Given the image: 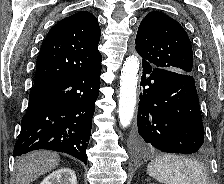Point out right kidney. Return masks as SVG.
<instances>
[{
    "label": "right kidney",
    "instance_id": "obj_1",
    "mask_svg": "<svg viewBox=\"0 0 224 184\" xmlns=\"http://www.w3.org/2000/svg\"><path fill=\"white\" fill-rule=\"evenodd\" d=\"M40 184H77L76 174L72 169L61 168L50 173Z\"/></svg>",
    "mask_w": 224,
    "mask_h": 184
}]
</instances>
